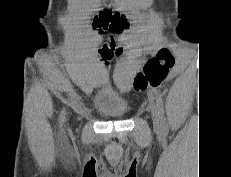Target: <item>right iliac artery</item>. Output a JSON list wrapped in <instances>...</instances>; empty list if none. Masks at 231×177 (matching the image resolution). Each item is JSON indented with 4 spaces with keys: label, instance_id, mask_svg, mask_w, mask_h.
<instances>
[{
    "label": "right iliac artery",
    "instance_id": "obj_1",
    "mask_svg": "<svg viewBox=\"0 0 231 177\" xmlns=\"http://www.w3.org/2000/svg\"><path fill=\"white\" fill-rule=\"evenodd\" d=\"M64 119H65V108H64V109L62 110V112H61V116H60L61 124H63Z\"/></svg>",
    "mask_w": 231,
    "mask_h": 177
}]
</instances>
